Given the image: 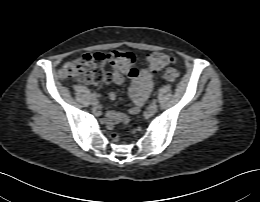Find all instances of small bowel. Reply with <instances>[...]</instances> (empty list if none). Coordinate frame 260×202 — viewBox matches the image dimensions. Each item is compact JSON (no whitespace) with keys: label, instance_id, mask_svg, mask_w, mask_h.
Instances as JSON below:
<instances>
[{"label":"small bowel","instance_id":"small-bowel-1","mask_svg":"<svg viewBox=\"0 0 260 202\" xmlns=\"http://www.w3.org/2000/svg\"><path fill=\"white\" fill-rule=\"evenodd\" d=\"M128 77L131 80L129 94L132 99V106L129 109L131 114H136L139 112L140 107L145 103L148 99L154 82V74L149 70H137L131 68L127 72ZM112 81L118 85L123 82V77L121 73L115 69V72L112 77ZM110 100H115V93L111 92L109 94ZM105 123L108 129H112L114 125L125 123L127 121V117L123 113L108 111L104 115Z\"/></svg>","mask_w":260,"mask_h":202}]
</instances>
